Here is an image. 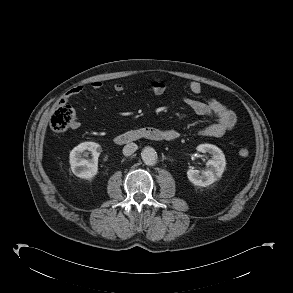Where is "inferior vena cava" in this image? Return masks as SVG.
<instances>
[{"label": "inferior vena cava", "mask_w": 293, "mask_h": 293, "mask_svg": "<svg viewBox=\"0 0 293 293\" xmlns=\"http://www.w3.org/2000/svg\"><path fill=\"white\" fill-rule=\"evenodd\" d=\"M138 149V146L135 143H129L124 146L123 148V154L125 156L132 155L136 150Z\"/></svg>", "instance_id": "obj_1"}]
</instances>
